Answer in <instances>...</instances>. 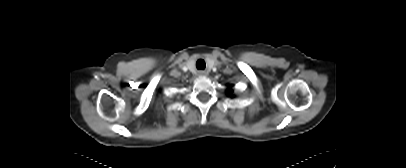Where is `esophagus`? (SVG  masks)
Segmentation results:
<instances>
[{"mask_svg":"<svg viewBox=\"0 0 406 168\" xmlns=\"http://www.w3.org/2000/svg\"><path fill=\"white\" fill-rule=\"evenodd\" d=\"M199 74L200 75H207V72L206 71H199Z\"/></svg>","mask_w":406,"mask_h":168,"instance_id":"esophagus-1","label":"esophagus"}]
</instances>
